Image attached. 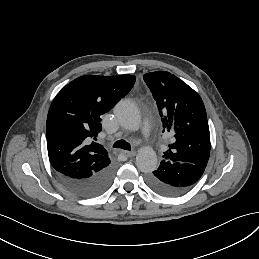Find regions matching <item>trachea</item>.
Instances as JSON below:
<instances>
[{
	"instance_id": "1",
	"label": "trachea",
	"mask_w": 259,
	"mask_h": 259,
	"mask_svg": "<svg viewBox=\"0 0 259 259\" xmlns=\"http://www.w3.org/2000/svg\"><path fill=\"white\" fill-rule=\"evenodd\" d=\"M113 147L114 148H121V149H124V150H131V145L123 139L116 141L113 144Z\"/></svg>"
}]
</instances>
